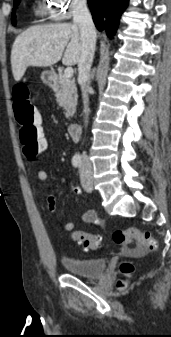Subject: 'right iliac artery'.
I'll return each instance as SVG.
<instances>
[{"label":"right iliac artery","mask_w":171,"mask_h":337,"mask_svg":"<svg viewBox=\"0 0 171 337\" xmlns=\"http://www.w3.org/2000/svg\"><path fill=\"white\" fill-rule=\"evenodd\" d=\"M81 164V156H78V155H75L73 158H72V165L74 167H79Z\"/></svg>","instance_id":"obj_1"}]
</instances>
